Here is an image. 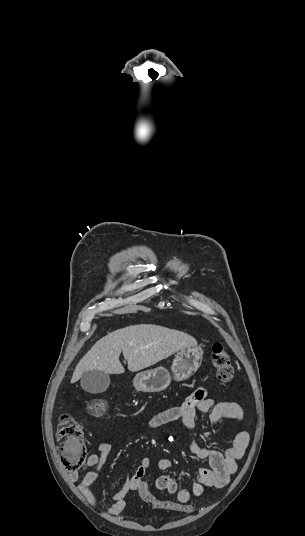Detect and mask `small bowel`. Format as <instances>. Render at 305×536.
<instances>
[{"label":"small bowel","instance_id":"c3829d8e","mask_svg":"<svg viewBox=\"0 0 305 536\" xmlns=\"http://www.w3.org/2000/svg\"><path fill=\"white\" fill-rule=\"evenodd\" d=\"M197 412L209 413L210 422L213 424L218 423L223 418L241 421L244 417L243 410L239 404L230 401L216 402L208 397L207 388L197 387L182 404L166 408L154 415L149 420L148 427L158 429L167 424L180 421L191 436L195 427ZM248 444L249 433L246 429L238 432L232 444L222 451L200 447L191 438L189 442L191 452L199 458L207 460L209 468L199 470L198 480L192 484L190 490L179 488L177 481L169 475L158 477L155 480L154 488L158 491L179 495L180 500H190L191 496L199 497L206 488L221 489L228 484L231 476L236 472V462L242 458ZM111 451L112 446L110 443H100L96 448V453L88 455L81 466L69 474V479L72 482H77L80 475L84 473L79 482V489L94 502H100L101 500L89 487L98 478ZM150 465V458H141L134 472L128 476L121 489L114 494L112 503L108 508L109 514L117 516L125 511L127 507L126 498L133 492L138 491L139 484H147L145 475ZM157 465L160 470L167 471L174 466V461L170 458H162ZM90 467H95V469L86 471Z\"/></svg>","mask_w":305,"mask_h":536}]
</instances>
